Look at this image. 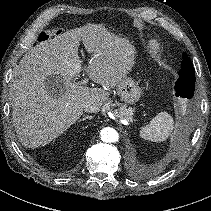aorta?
<instances>
[{"instance_id": "1", "label": "aorta", "mask_w": 211, "mask_h": 211, "mask_svg": "<svg viewBox=\"0 0 211 211\" xmlns=\"http://www.w3.org/2000/svg\"><path fill=\"white\" fill-rule=\"evenodd\" d=\"M101 140L106 143H114L119 140L118 132L110 127L103 128L100 132Z\"/></svg>"}]
</instances>
